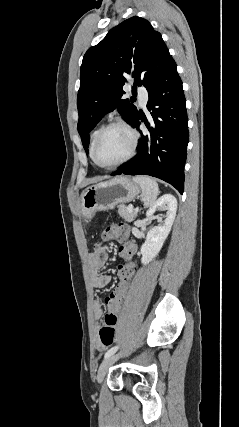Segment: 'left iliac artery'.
I'll return each mask as SVG.
<instances>
[{
  "label": "left iliac artery",
  "instance_id": "obj_1",
  "mask_svg": "<svg viewBox=\"0 0 239 427\" xmlns=\"http://www.w3.org/2000/svg\"><path fill=\"white\" fill-rule=\"evenodd\" d=\"M118 350V346H114L111 349H109L106 354H105V358L110 357L111 355H113L116 351Z\"/></svg>",
  "mask_w": 239,
  "mask_h": 427
}]
</instances>
